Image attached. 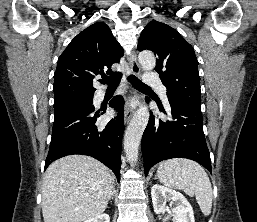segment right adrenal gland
I'll list each match as a JSON object with an SVG mask.
<instances>
[{
    "mask_svg": "<svg viewBox=\"0 0 257 222\" xmlns=\"http://www.w3.org/2000/svg\"><path fill=\"white\" fill-rule=\"evenodd\" d=\"M114 195H115V190H113L112 192V199L114 198Z\"/></svg>",
    "mask_w": 257,
    "mask_h": 222,
    "instance_id": "obj_1",
    "label": "right adrenal gland"
}]
</instances>
